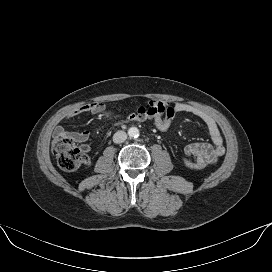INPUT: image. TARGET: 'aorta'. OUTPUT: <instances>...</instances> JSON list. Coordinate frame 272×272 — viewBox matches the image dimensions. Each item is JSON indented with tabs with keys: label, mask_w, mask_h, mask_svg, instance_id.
Returning a JSON list of instances; mask_svg holds the SVG:
<instances>
[{
	"label": "aorta",
	"mask_w": 272,
	"mask_h": 272,
	"mask_svg": "<svg viewBox=\"0 0 272 272\" xmlns=\"http://www.w3.org/2000/svg\"><path fill=\"white\" fill-rule=\"evenodd\" d=\"M128 135L131 138H137L139 136V130L137 127H130L128 130Z\"/></svg>",
	"instance_id": "1"
}]
</instances>
